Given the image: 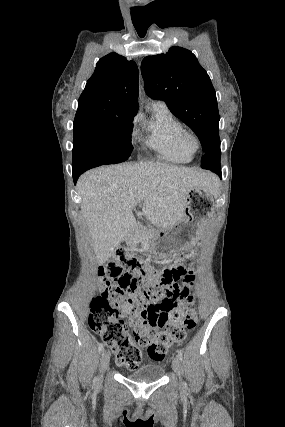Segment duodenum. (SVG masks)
Returning a JSON list of instances; mask_svg holds the SVG:
<instances>
[{"mask_svg": "<svg viewBox=\"0 0 285 427\" xmlns=\"http://www.w3.org/2000/svg\"><path fill=\"white\" fill-rule=\"evenodd\" d=\"M133 230L138 234H144V228L142 226H136Z\"/></svg>", "mask_w": 285, "mask_h": 427, "instance_id": "obj_1", "label": "duodenum"}]
</instances>
